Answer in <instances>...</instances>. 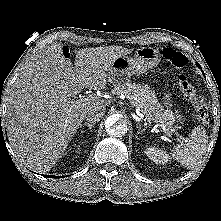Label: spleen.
Listing matches in <instances>:
<instances>
[{"label": "spleen", "mask_w": 221, "mask_h": 221, "mask_svg": "<svg viewBox=\"0 0 221 221\" xmlns=\"http://www.w3.org/2000/svg\"><path fill=\"white\" fill-rule=\"evenodd\" d=\"M208 143V135L203 127H195L187 143L178 145L172 149V156L182 166L191 169L199 163L205 153Z\"/></svg>", "instance_id": "3e777b00"}]
</instances>
